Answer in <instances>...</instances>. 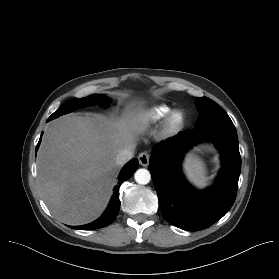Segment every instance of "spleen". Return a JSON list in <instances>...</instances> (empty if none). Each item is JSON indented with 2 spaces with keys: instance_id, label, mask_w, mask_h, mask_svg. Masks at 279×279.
Segmentation results:
<instances>
[{
  "instance_id": "1",
  "label": "spleen",
  "mask_w": 279,
  "mask_h": 279,
  "mask_svg": "<svg viewBox=\"0 0 279 279\" xmlns=\"http://www.w3.org/2000/svg\"><path fill=\"white\" fill-rule=\"evenodd\" d=\"M188 179L197 187L203 188L206 185L207 177L203 162L194 156L186 159L184 164Z\"/></svg>"
}]
</instances>
